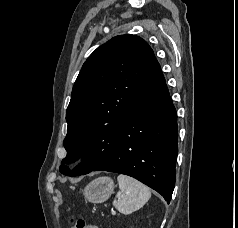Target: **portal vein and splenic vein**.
Instances as JSON below:
<instances>
[{"instance_id": "obj_1", "label": "portal vein and splenic vein", "mask_w": 238, "mask_h": 228, "mask_svg": "<svg viewBox=\"0 0 238 228\" xmlns=\"http://www.w3.org/2000/svg\"><path fill=\"white\" fill-rule=\"evenodd\" d=\"M112 214L114 215V214H115V212H114V211H112Z\"/></svg>"}]
</instances>
